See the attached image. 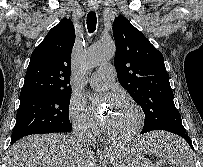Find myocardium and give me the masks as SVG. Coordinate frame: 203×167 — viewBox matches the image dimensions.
Instances as JSON below:
<instances>
[{
  "label": "myocardium",
  "mask_w": 203,
  "mask_h": 167,
  "mask_svg": "<svg viewBox=\"0 0 203 167\" xmlns=\"http://www.w3.org/2000/svg\"><path fill=\"white\" fill-rule=\"evenodd\" d=\"M124 105L131 109L134 114L136 115V124L133 127L132 130L125 134H115L110 132L108 129L103 127L104 133L111 139L116 140V141H128L134 138L142 129L143 124H144V113L141 110L139 106H137L135 103L129 101V100H124Z\"/></svg>",
  "instance_id": "f54148a6"
}]
</instances>
